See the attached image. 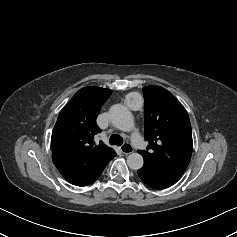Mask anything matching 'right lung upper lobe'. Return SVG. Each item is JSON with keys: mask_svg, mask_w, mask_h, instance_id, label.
I'll list each match as a JSON object with an SVG mask.
<instances>
[{"mask_svg": "<svg viewBox=\"0 0 237 237\" xmlns=\"http://www.w3.org/2000/svg\"><path fill=\"white\" fill-rule=\"evenodd\" d=\"M112 91L95 86L80 89L61 110L52 131L53 160H64L81 172L100 169L116 156L112 148L94 137L100 132L95 120Z\"/></svg>", "mask_w": 237, "mask_h": 237, "instance_id": "obj_1", "label": "right lung upper lobe"}]
</instances>
